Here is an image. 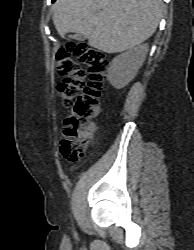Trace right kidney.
<instances>
[{"instance_id": "obj_1", "label": "right kidney", "mask_w": 194, "mask_h": 250, "mask_svg": "<svg viewBox=\"0 0 194 250\" xmlns=\"http://www.w3.org/2000/svg\"><path fill=\"white\" fill-rule=\"evenodd\" d=\"M148 49V44L138 45L112 60L107 79L114 88L121 89L134 79L145 61Z\"/></svg>"}]
</instances>
